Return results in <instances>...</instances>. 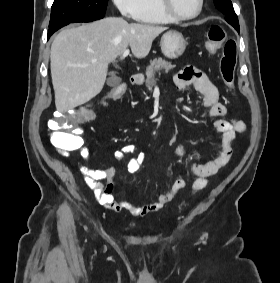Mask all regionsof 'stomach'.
Masks as SVG:
<instances>
[{"instance_id":"1","label":"stomach","mask_w":280,"mask_h":283,"mask_svg":"<svg viewBox=\"0 0 280 283\" xmlns=\"http://www.w3.org/2000/svg\"><path fill=\"white\" fill-rule=\"evenodd\" d=\"M187 41L182 33L176 30H170L163 34L160 47L163 55L169 59H177L186 48Z\"/></svg>"}]
</instances>
